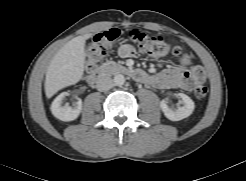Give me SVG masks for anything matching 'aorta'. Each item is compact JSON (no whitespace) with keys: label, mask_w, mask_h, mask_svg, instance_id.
<instances>
[{"label":"aorta","mask_w":246,"mask_h":181,"mask_svg":"<svg viewBox=\"0 0 246 181\" xmlns=\"http://www.w3.org/2000/svg\"><path fill=\"white\" fill-rule=\"evenodd\" d=\"M113 82L116 86H122L125 83V77L122 74H117L114 76Z\"/></svg>","instance_id":"1"}]
</instances>
